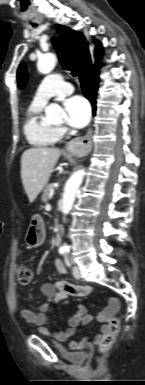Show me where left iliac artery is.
Here are the masks:
<instances>
[{"instance_id":"44dca946","label":"left iliac artery","mask_w":145,"mask_h":385,"mask_svg":"<svg viewBox=\"0 0 145 385\" xmlns=\"http://www.w3.org/2000/svg\"><path fill=\"white\" fill-rule=\"evenodd\" d=\"M65 261H66V264H67L68 266H70V263H69V261H68V258H67V257H65Z\"/></svg>"}]
</instances>
